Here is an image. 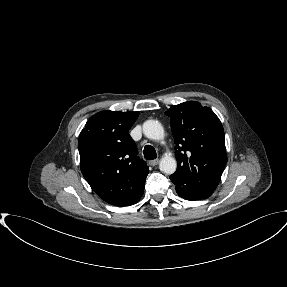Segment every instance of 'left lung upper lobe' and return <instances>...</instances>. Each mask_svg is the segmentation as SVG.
Here are the masks:
<instances>
[{"label":"left lung upper lobe","mask_w":287,"mask_h":287,"mask_svg":"<svg viewBox=\"0 0 287 287\" xmlns=\"http://www.w3.org/2000/svg\"><path fill=\"white\" fill-rule=\"evenodd\" d=\"M176 143L177 170L170 176L176 186L191 191H214L227 163L224 130L216 114L195 101L165 112Z\"/></svg>","instance_id":"left-lung-upper-lobe-1"}]
</instances>
